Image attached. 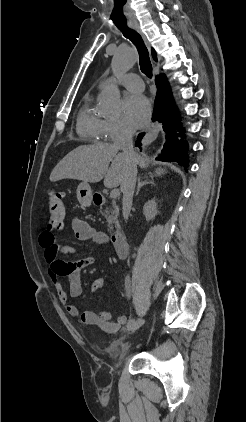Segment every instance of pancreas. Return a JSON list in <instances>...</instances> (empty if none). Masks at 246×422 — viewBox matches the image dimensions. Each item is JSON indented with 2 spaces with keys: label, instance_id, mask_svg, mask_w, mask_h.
I'll return each instance as SVG.
<instances>
[{
  "label": "pancreas",
  "instance_id": "1",
  "mask_svg": "<svg viewBox=\"0 0 246 422\" xmlns=\"http://www.w3.org/2000/svg\"><path fill=\"white\" fill-rule=\"evenodd\" d=\"M100 211L102 212V208H100ZM105 213V217L108 222V231H111L113 229L112 224H118L119 207L113 203L112 208H105Z\"/></svg>",
  "mask_w": 246,
  "mask_h": 422
}]
</instances>
